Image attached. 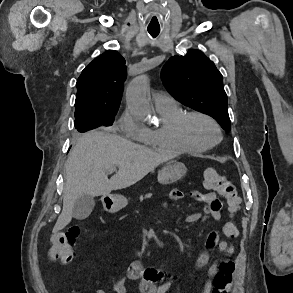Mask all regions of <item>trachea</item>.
Instances as JSON below:
<instances>
[{
  "instance_id": "1",
  "label": "trachea",
  "mask_w": 293,
  "mask_h": 293,
  "mask_svg": "<svg viewBox=\"0 0 293 293\" xmlns=\"http://www.w3.org/2000/svg\"><path fill=\"white\" fill-rule=\"evenodd\" d=\"M149 34L155 38L159 35L160 29H148Z\"/></svg>"
}]
</instances>
